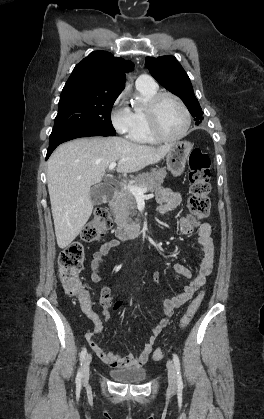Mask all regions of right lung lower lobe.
Segmentation results:
<instances>
[{
  "mask_svg": "<svg viewBox=\"0 0 264 419\" xmlns=\"http://www.w3.org/2000/svg\"><path fill=\"white\" fill-rule=\"evenodd\" d=\"M115 134L112 133H106V132H102V131H91V130H87V131H79V132H75L72 133L70 135H67L66 137L62 138L60 141L55 142L53 144L49 145V148L47 150V155H46V160L49 158V156L51 155V153L54 151V149L61 143L75 139V138H79V137H90V136H114Z\"/></svg>",
  "mask_w": 264,
  "mask_h": 419,
  "instance_id": "obj_1",
  "label": "right lung lower lobe"
}]
</instances>
